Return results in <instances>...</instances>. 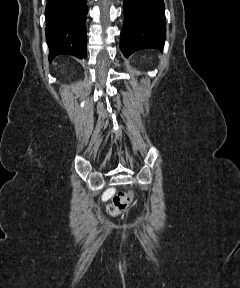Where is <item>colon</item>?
<instances>
[{
    "label": "colon",
    "instance_id": "obj_1",
    "mask_svg": "<svg viewBox=\"0 0 240 288\" xmlns=\"http://www.w3.org/2000/svg\"><path fill=\"white\" fill-rule=\"evenodd\" d=\"M133 200V193L131 191L119 192L112 199L108 207V211L112 215H117L126 209Z\"/></svg>",
    "mask_w": 240,
    "mask_h": 288
}]
</instances>
